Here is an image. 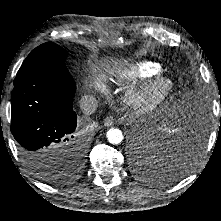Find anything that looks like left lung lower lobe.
<instances>
[{"mask_svg":"<svg viewBox=\"0 0 221 221\" xmlns=\"http://www.w3.org/2000/svg\"><path fill=\"white\" fill-rule=\"evenodd\" d=\"M203 127V123L196 124V128H192L189 130L190 134L184 136L183 143L175 146L164 142L159 133L135 136L131 142L133 155L147 161L151 168L155 169L154 172H145L143 177L151 183L166 185L185 175L197 158V152L193 146L197 140L196 135L203 132ZM166 147H169L168 151H170L167 152L169 162L166 164L157 162L159 150Z\"/></svg>","mask_w":221,"mask_h":221,"instance_id":"0a47b994","label":"left lung lower lobe"}]
</instances>
